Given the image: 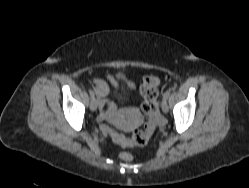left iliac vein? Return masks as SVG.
Instances as JSON below:
<instances>
[{
	"mask_svg": "<svg viewBox=\"0 0 249 188\" xmlns=\"http://www.w3.org/2000/svg\"><path fill=\"white\" fill-rule=\"evenodd\" d=\"M162 111L164 113H167L169 110L168 102L167 99L163 98L162 103H161Z\"/></svg>",
	"mask_w": 249,
	"mask_h": 188,
	"instance_id": "left-iliac-vein-1",
	"label": "left iliac vein"
}]
</instances>
